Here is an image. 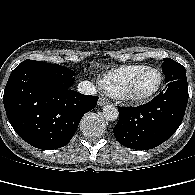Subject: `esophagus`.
I'll list each match as a JSON object with an SVG mask.
<instances>
[{
  "label": "esophagus",
  "mask_w": 195,
  "mask_h": 195,
  "mask_svg": "<svg viewBox=\"0 0 195 195\" xmlns=\"http://www.w3.org/2000/svg\"><path fill=\"white\" fill-rule=\"evenodd\" d=\"M108 103H109V100L106 99V98H104L103 96H101V97L99 98V100H98V105H99V106H104V105H106V104H108Z\"/></svg>",
  "instance_id": "obj_1"
}]
</instances>
